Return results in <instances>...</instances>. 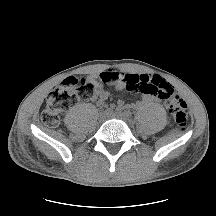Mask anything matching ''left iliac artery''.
I'll list each match as a JSON object with an SVG mask.
<instances>
[{
    "label": "left iliac artery",
    "mask_w": 216,
    "mask_h": 216,
    "mask_svg": "<svg viewBox=\"0 0 216 216\" xmlns=\"http://www.w3.org/2000/svg\"><path fill=\"white\" fill-rule=\"evenodd\" d=\"M124 114L126 117H131L132 113L129 110H125Z\"/></svg>",
    "instance_id": "44dca946"
}]
</instances>
